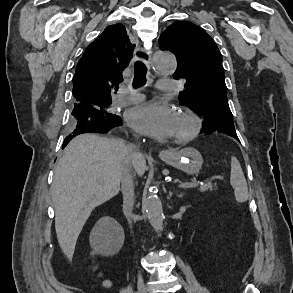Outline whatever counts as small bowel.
Returning <instances> with one entry per match:
<instances>
[{"label": "small bowel", "mask_w": 293, "mask_h": 293, "mask_svg": "<svg viewBox=\"0 0 293 293\" xmlns=\"http://www.w3.org/2000/svg\"><path fill=\"white\" fill-rule=\"evenodd\" d=\"M104 285H105L106 287H110V286H111V282H110L109 280H106V281L104 282Z\"/></svg>", "instance_id": "1"}]
</instances>
